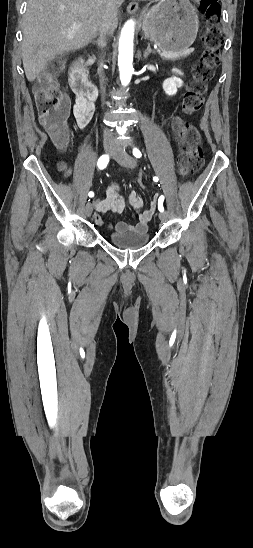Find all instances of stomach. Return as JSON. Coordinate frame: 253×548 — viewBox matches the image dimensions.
<instances>
[{
  "label": "stomach",
  "instance_id": "0dacf381",
  "mask_svg": "<svg viewBox=\"0 0 253 548\" xmlns=\"http://www.w3.org/2000/svg\"><path fill=\"white\" fill-rule=\"evenodd\" d=\"M197 11L189 0H160L144 15L142 31L163 51L182 53L198 32Z\"/></svg>",
  "mask_w": 253,
  "mask_h": 548
}]
</instances>
